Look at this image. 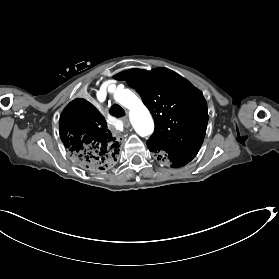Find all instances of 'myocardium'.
<instances>
[{"mask_svg":"<svg viewBox=\"0 0 279 279\" xmlns=\"http://www.w3.org/2000/svg\"><path fill=\"white\" fill-rule=\"evenodd\" d=\"M139 104L145 105V102L139 95H137L132 100L131 105H139Z\"/></svg>","mask_w":279,"mask_h":279,"instance_id":"myocardium-1","label":"myocardium"}]
</instances>
